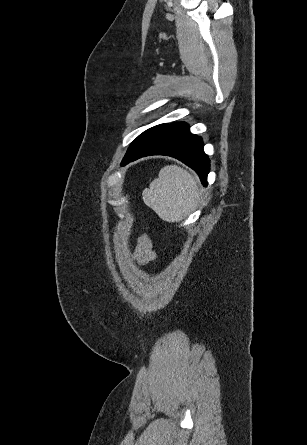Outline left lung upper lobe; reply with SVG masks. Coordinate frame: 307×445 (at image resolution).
I'll return each instance as SVG.
<instances>
[{
  "mask_svg": "<svg viewBox=\"0 0 307 445\" xmlns=\"http://www.w3.org/2000/svg\"><path fill=\"white\" fill-rule=\"evenodd\" d=\"M169 124H160L157 126H154L146 131H144L142 134H140L134 141L133 143L130 145L124 159L122 160L121 164H124L127 159L134 153L137 151V149L145 142L147 141L150 137H152L153 135L157 134L159 131H161L162 129H164L165 127H167Z\"/></svg>",
  "mask_w": 307,
  "mask_h": 445,
  "instance_id": "5c2ea615",
  "label": "left lung upper lobe"
}]
</instances>
